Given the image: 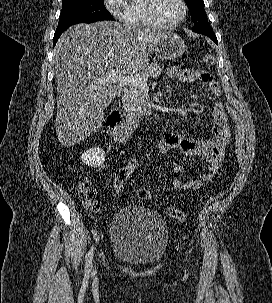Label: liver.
Masks as SVG:
<instances>
[{
    "instance_id": "liver-1",
    "label": "liver",
    "mask_w": 272,
    "mask_h": 303,
    "mask_svg": "<svg viewBox=\"0 0 272 303\" xmlns=\"http://www.w3.org/2000/svg\"><path fill=\"white\" fill-rule=\"evenodd\" d=\"M167 32L101 21L67 29L54 48L57 83L55 130L71 146L95 132L104 110L116 96V85L99 80L110 74H136L148 65Z\"/></svg>"
}]
</instances>
